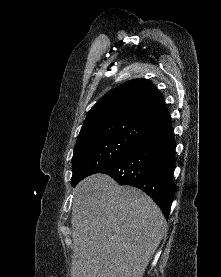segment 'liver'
<instances>
[{
  "mask_svg": "<svg viewBox=\"0 0 221 277\" xmlns=\"http://www.w3.org/2000/svg\"><path fill=\"white\" fill-rule=\"evenodd\" d=\"M73 194L71 277H143L167 231L158 205L105 174L83 179Z\"/></svg>",
  "mask_w": 221,
  "mask_h": 277,
  "instance_id": "liver-1",
  "label": "liver"
}]
</instances>
